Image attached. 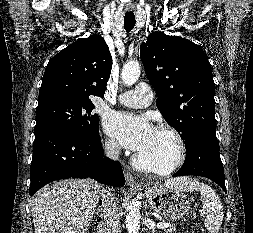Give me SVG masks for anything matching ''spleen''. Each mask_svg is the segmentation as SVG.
<instances>
[{
    "instance_id": "3e777b00",
    "label": "spleen",
    "mask_w": 253,
    "mask_h": 233,
    "mask_svg": "<svg viewBox=\"0 0 253 233\" xmlns=\"http://www.w3.org/2000/svg\"><path fill=\"white\" fill-rule=\"evenodd\" d=\"M168 184L171 188L182 192L199 191L203 204V212L206 215L204 225L210 233H218L223 220V206L216 192L208 185L198 180H190L188 177L172 179Z\"/></svg>"
}]
</instances>
